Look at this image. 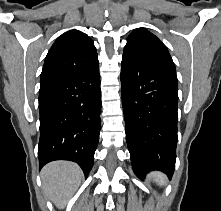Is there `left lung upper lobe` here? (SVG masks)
<instances>
[{
    "label": "left lung upper lobe",
    "instance_id": "5c2ea615",
    "mask_svg": "<svg viewBox=\"0 0 221 211\" xmlns=\"http://www.w3.org/2000/svg\"><path fill=\"white\" fill-rule=\"evenodd\" d=\"M123 57H131L176 73L166 46L145 28H138L129 35Z\"/></svg>",
    "mask_w": 221,
    "mask_h": 211
}]
</instances>
